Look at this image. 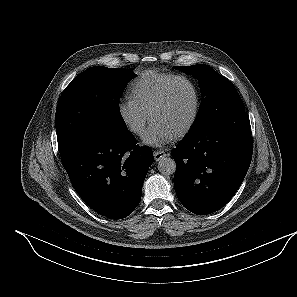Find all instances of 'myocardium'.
Masks as SVG:
<instances>
[{
  "label": "myocardium",
  "mask_w": 297,
  "mask_h": 297,
  "mask_svg": "<svg viewBox=\"0 0 297 297\" xmlns=\"http://www.w3.org/2000/svg\"><path fill=\"white\" fill-rule=\"evenodd\" d=\"M179 81H184L188 83L192 88V91L194 94V108L189 121L181 130H179L174 135L175 138H181L187 135L192 130V128L194 127L198 119L200 108H201V96L196 83L188 76L176 75L164 86L159 97L157 98V100L155 101V103L153 104V106L149 111V119L152 121L153 114L166 103L170 90L172 89L173 85Z\"/></svg>",
  "instance_id": "myocardium-1"
}]
</instances>
